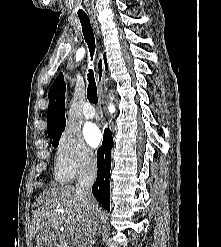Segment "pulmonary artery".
<instances>
[{"label":"pulmonary artery","mask_w":221,"mask_h":247,"mask_svg":"<svg viewBox=\"0 0 221 247\" xmlns=\"http://www.w3.org/2000/svg\"><path fill=\"white\" fill-rule=\"evenodd\" d=\"M83 115L87 119H91V118H93L95 116V111H94L93 107L89 103H87L84 106Z\"/></svg>","instance_id":"pulmonary-artery-1"}]
</instances>
